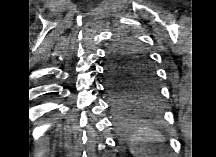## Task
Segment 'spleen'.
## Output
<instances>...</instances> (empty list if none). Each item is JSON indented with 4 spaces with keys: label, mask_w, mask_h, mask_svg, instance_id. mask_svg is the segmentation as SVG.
I'll list each match as a JSON object with an SVG mask.
<instances>
[{
    "label": "spleen",
    "mask_w": 216,
    "mask_h": 157,
    "mask_svg": "<svg viewBox=\"0 0 216 157\" xmlns=\"http://www.w3.org/2000/svg\"><path fill=\"white\" fill-rule=\"evenodd\" d=\"M130 152L135 157H149L156 154V145L165 142L163 135L155 128L138 122L134 131L128 135Z\"/></svg>",
    "instance_id": "spleen-1"
}]
</instances>
